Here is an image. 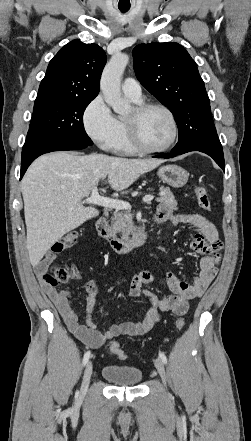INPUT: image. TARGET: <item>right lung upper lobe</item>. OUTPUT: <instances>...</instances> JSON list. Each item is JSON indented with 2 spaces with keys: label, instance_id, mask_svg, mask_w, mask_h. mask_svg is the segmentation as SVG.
<instances>
[{
  "label": "right lung upper lobe",
  "instance_id": "right-lung-upper-lobe-1",
  "mask_svg": "<svg viewBox=\"0 0 251 441\" xmlns=\"http://www.w3.org/2000/svg\"><path fill=\"white\" fill-rule=\"evenodd\" d=\"M105 64L106 54L98 45L69 42L50 61L35 101L95 98Z\"/></svg>",
  "mask_w": 251,
  "mask_h": 441
}]
</instances>
